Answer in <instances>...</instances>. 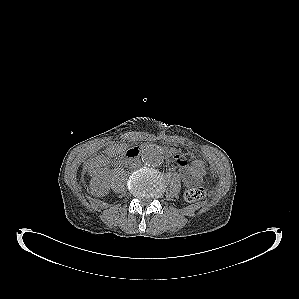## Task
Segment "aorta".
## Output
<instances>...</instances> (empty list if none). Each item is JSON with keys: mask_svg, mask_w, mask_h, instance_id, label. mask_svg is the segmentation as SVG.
Masks as SVG:
<instances>
[{"mask_svg": "<svg viewBox=\"0 0 299 299\" xmlns=\"http://www.w3.org/2000/svg\"><path fill=\"white\" fill-rule=\"evenodd\" d=\"M162 149L154 144H149L142 149V160L148 166H159L163 162Z\"/></svg>", "mask_w": 299, "mask_h": 299, "instance_id": "762f6f07", "label": "aorta"}]
</instances>
